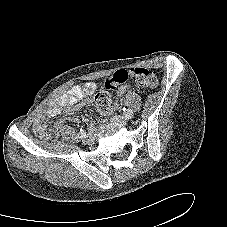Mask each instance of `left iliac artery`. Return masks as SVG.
<instances>
[{"label": "left iliac artery", "instance_id": "1", "mask_svg": "<svg viewBox=\"0 0 227 227\" xmlns=\"http://www.w3.org/2000/svg\"><path fill=\"white\" fill-rule=\"evenodd\" d=\"M123 111H124V115L125 116H133V110L131 109H126V108H123Z\"/></svg>", "mask_w": 227, "mask_h": 227}]
</instances>
